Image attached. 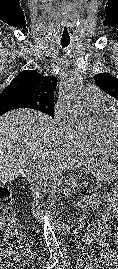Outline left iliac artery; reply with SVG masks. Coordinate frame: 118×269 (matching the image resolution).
Returning <instances> with one entry per match:
<instances>
[{
	"label": "left iliac artery",
	"instance_id": "44dca946",
	"mask_svg": "<svg viewBox=\"0 0 118 269\" xmlns=\"http://www.w3.org/2000/svg\"><path fill=\"white\" fill-rule=\"evenodd\" d=\"M61 258H62V260H64V262H65V257L63 256V254H61Z\"/></svg>",
	"mask_w": 118,
	"mask_h": 269
}]
</instances>
